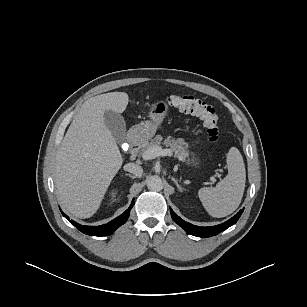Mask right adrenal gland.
<instances>
[{"label":"right adrenal gland","instance_id":"obj_1","mask_svg":"<svg viewBox=\"0 0 307 307\" xmlns=\"http://www.w3.org/2000/svg\"><path fill=\"white\" fill-rule=\"evenodd\" d=\"M126 176H129V177H131L132 179L135 178V176H133V175H131V174H129V173H127Z\"/></svg>","mask_w":307,"mask_h":307}]
</instances>
